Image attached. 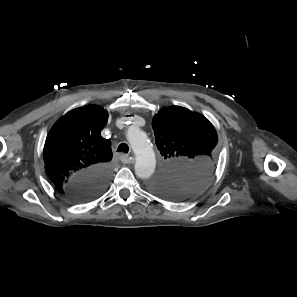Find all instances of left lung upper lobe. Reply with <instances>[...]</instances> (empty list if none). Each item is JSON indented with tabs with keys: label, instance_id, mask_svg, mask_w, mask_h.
Returning <instances> with one entry per match:
<instances>
[{
	"label": "left lung upper lobe",
	"instance_id": "1",
	"mask_svg": "<svg viewBox=\"0 0 297 297\" xmlns=\"http://www.w3.org/2000/svg\"><path fill=\"white\" fill-rule=\"evenodd\" d=\"M152 127L163 162L150 189L175 201L191 197L214 170L218 137L213 125L200 114L172 106L155 115Z\"/></svg>",
	"mask_w": 297,
	"mask_h": 297
}]
</instances>
